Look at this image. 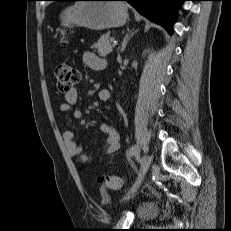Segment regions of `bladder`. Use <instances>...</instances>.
Instances as JSON below:
<instances>
[{
  "mask_svg": "<svg viewBox=\"0 0 231 231\" xmlns=\"http://www.w3.org/2000/svg\"><path fill=\"white\" fill-rule=\"evenodd\" d=\"M156 213V208L151 203H144L140 205L136 211V217L138 218H150Z\"/></svg>",
  "mask_w": 231,
  "mask_h": 231,
  "instance_id": "bladder-1",
  "label": "bladder"
}]
</instances>
